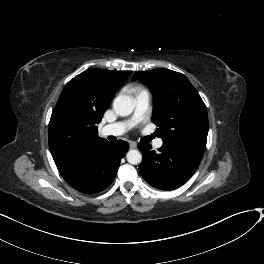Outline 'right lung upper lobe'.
I'll return each mask as SVG.
<instances>
[{"label":"right lung upper lobe","mask_w":264,"mask_h":264,"mask_svg":"<svg viewBox=\"0 0 264 264\" xmlns=\"http://www.w3.org/2000/svg\"><path fill=\"white\" fill-rule=\"evenodd\" d=\"M130 73L92 69L66 84L48 128L49 148L59 172L107 142L98 136L97 124Z\"/></svg>","instance_id":"obj_1"}]
</instances>
